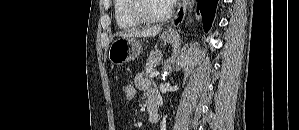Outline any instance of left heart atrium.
<instances>
[{
    "label": "left heart atrium",
    "instance_id": "left-heart-atrium-1",
    "mask_svg": "<svg viewBox=\"0 0 299 130\" xmlns=\"http://www.w3.org/2000/svg\"><path fill=\"white\" fill-rule=\"evenodd\" d=\"M166 2L168 3V5H173L176 3V0H166Z\"/></svg>",
    "mask_w": 299,
    "mask_h": 130
}]
</instances>
